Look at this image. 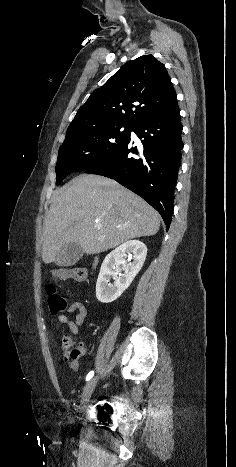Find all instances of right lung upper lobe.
<instances>
[{
	"mask_svg": "<svg viewBox=\"0 0 236 467\" xmlns=\"http://www.w3.org/2000/svg\"><path fill=\"white\" fill-rule=\"evenodd\" d=\"M176 101L164 64L152 55H144L124 64L90 95L66 136L114 125L134 128Z\"/></svg>",
	"mask_w": 236,
	"mask_h": 467,
	"instance_id": "right-lung-upper-lobe-1",
	"label": "right lung upper lobe"
}]
</instances>
